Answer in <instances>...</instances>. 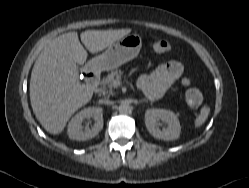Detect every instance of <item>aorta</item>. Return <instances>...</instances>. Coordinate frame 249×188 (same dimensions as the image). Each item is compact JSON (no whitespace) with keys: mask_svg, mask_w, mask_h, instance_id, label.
Masks as SVG:
<instances>
[{"mask_svg":"<svg viewBox=\"0 0 249 188\" xmlns=\"http://www.w3.org/2000/svg\"><path fill=\"white\" fill-rule=\"evenodd\" d=\"M129 109L130 107L127 103H121L118 107L119 112L122 114L128 113Z\"/></svg>","mask_w":249,"mask_h":188,"instance_id":"1","label":"aorta"}]
</instances>
